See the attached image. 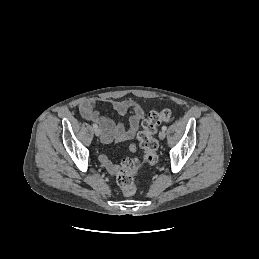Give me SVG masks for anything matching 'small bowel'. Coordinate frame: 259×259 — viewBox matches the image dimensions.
I'll use <instances>...</instances> for the list:
<instances>
[{
    "label": "small bowel",
    "mask_w": 259,
    "mask_h": 259,
    "mask_svg": "<svg viewBox=\"0 0 259 259\" xmlns=\"http://www.w3.org/2000/svg\"><path fill=\"white\" fill-rule=\"evenodd\" d=\"M102 101L108 102L119 115H125L127 112L131 113L129 126L125 129L120 123H115L97 111L95 109V99H86L79 105L81 116L85 120L93 121L100 126L102 143L109 144L113 141L119 142L134 138L139 124L144 118V111L140 104L133 100L102 99ZM129 151L135 152L136 146L134 144L130 145ZM100 161L109 173L114 174L116 172L118 165L114 164L107 156L101 155Z\"/></svg>",
    "instance_id": "1"
}]
</instances>
